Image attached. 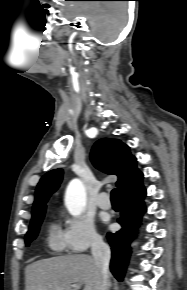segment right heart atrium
<instances>
[{
	"instance_id": "1",
	"label": "right heart atrium",
	"mask_w": 187,
	"mask_h": 290,
	"mask_svg": "<svg viewBox=\"0 0 187 290\" xmlns=\"http://www.w3.org/2000/svg\"><path fill=\"white\" fill-rule=\"evenodd\" d=\"M64 238L67 249L72 253H81L101 244V236L93 221L86 216L66 217Z\"/></svg>"
}]
</instances>
